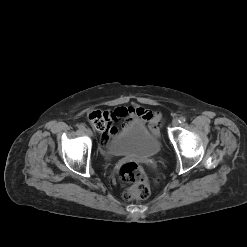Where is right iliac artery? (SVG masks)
Returning a JSON list of instances; mask_svg holds the SVG:
<instances>
[{
	"instance_id": "right-iliac-artery-1",
	"label": "right iliac artery",
	"mask_w": 247,
	"mask_h": 247,
	"mask_svg": "<svg viewBox=\"0 0 247 247\" xmlns=\"http://www.w3.org/2000/svg\"><path fill=\"white\" fill-rule=\"evenodd\" d=\"M78 128H79L80 130H84V129H85V126H84L83 124H79V125H78Z\"/></svg>"
}]
</instances>
